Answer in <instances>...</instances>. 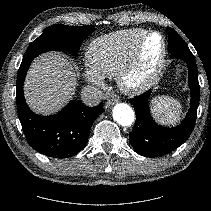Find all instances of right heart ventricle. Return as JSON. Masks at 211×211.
<instances>
[{
	"label": "right heart ventricle",
	"instance_id": "obj_1",
	"mask_svg": "<svg viewBox=\"0 0 211 211\" xmlns=\"http://www.w3.org/2000/svg\"><path fill=\"white\" fill-rule=\"evenodd\" d=\"M145 32L142 28H131L94 39L87 49L90 66L102 77H114Z\"/></svg>",
	"mask_w": 211,
	"mask_h": 211
}]
</instances>
